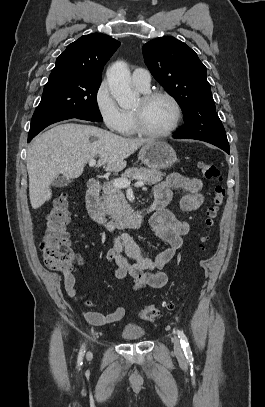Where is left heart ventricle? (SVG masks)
Masks as SVG:
<instances>
[{
	"mask_svg": "<svg viewBox=\"0 0 265 407\" xmlns=\"http://www.w3.org/2000/svg\"><path fill=\"white\" fill-rule=\"evenodd\" d=\"M132 110L141 113L145 128L153 132L168 129L175 118L174 106L163 97L155 98L148 103H143L140 99Z\"/></svg>",
	"mask_w": 265,
	"mask_h": 407,
	"instance_id": "obj_1",
	"label": "left heart ventricle"
}]
</instances>
